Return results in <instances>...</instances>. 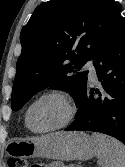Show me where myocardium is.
<instances>
[{
    "instance_id": "myocardium-1",
    "label": "myocardium",
    "mask_w": 125,
    "mask_h": 167,
    "mask_svg": "<svg viewBox=\"0 0 125 167\" xmlns=\"http://www.w3.org/2000/svg\"><path fill=\"white\" fill-rule=\"evenodd\" d=\"M47 98H55L62 103V105L64 106V109H65L64 116L57 124H55L51 127H48L46 129H42V130L33 129L31 127L30 121H29L31 110L33 109V107L36 104H38L39 102H41L42 100L47 99ZM75 112L76 111H75L74 103H73L71 97L65 91L60 90V89H51V90H48V91L42 93L41 95H39L37 98H35L29 104V106L26 110V113H25V124H26L27 128L34 133L46 134V133L53 132V131L59 130V129L67 126L74 118Z\"/></svg>"
}]
</instances>
